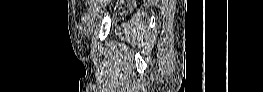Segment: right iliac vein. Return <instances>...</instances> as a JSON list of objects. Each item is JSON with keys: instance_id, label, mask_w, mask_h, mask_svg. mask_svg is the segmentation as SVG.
I'll return each instance as SVG.
<instances>
[{"instance_id": "1", "label": "right iliac vein", "mask_w": 263, "mask_h": 92, "mask_svg": "<svg viewBox=\"0 0 263 92\" xmlns=\"http://www.w3.org/2000/svg\"><path fill=\"white\" fill-rule=\"evenodd\" d=\"M98 2L94 1L92 4V7H90L89 14H88V19L87 21V31L88 33H91L93 31V19L97 14L98 11Z\"/></svg>"}]
</instances>
